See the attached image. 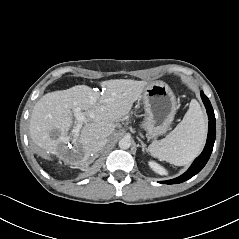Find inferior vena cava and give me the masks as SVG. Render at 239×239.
Wrapping results in <instances>:
<instances>
[{"label":"inferior vena cava","mask_w":239,"mask_h":239,"mask_svg":"<svg viewBox=\"0 0 239 239\" xmlns=\"http://www.w3.org/2000/svg\"><path fill=\"white\" fill-rule=\"evenodd\" d=\"M107 142H108V139H107V138H105V137L101 138V139L96 143L95 149H96L97 151L102 150L103 147L107 144Z\"/></svg>","instance_id":"1"}]
</instances>
